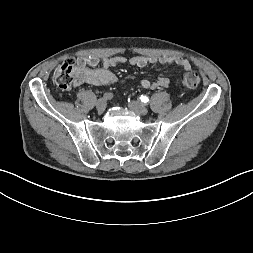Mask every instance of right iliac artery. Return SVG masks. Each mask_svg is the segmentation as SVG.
Segmentation results:
<instances>
[{"mask_svg": "<svg viewBox=\"0 0 253 253\" xmlns=\"http://www.w3.org/2000/svg\"><path fill=\"white\" fill-rule=\"evenodd\" d=\"M113 98V94L110 92H107L103 95V99L105 100H111Z\"/></svg>", "mask_w": 253, "mask_h": 253, "instance_id": "right-iliac-artery-1", "label": "right iliac artery"}]
</instances>
